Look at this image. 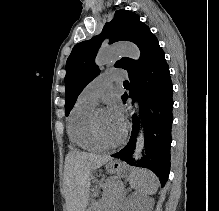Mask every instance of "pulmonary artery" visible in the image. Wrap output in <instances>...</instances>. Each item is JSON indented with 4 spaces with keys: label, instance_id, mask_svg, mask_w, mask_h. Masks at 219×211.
Returning <instances> with one entry per match:
<instances>
[{
    "label": "pulmonary artery",
    "instance_id": "1",
    "mask_svg": "<svg viewBox=\"0 0 219 211\" xmlns=\"http://www.w3.org/2000/svg\"><path fill=\"white\" fill-rule=\"evenodd\" d=\"M124 74V69H109L108 72L101 73L94 78L80 93L79 99L97 104L101 94L107 89L112 81L128 80V75Z\"/></svg>",
    "mask_w": 219,
    "mask_h": 211
}]
</instances>
